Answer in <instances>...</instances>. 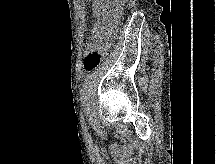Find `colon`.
I'll use <instances>...</instances> for the list:
<instances>
[{"label": "colon", "instance_id": "obj_1", "mask_svg": "<svg viewBox=\"0 0 216 164\" xmlns=\"http://www.w3.org/2000/svg\"><path fill=\"white\" fill-rule=\"evenodd\" d=\"M104 54L105 49L103 47L89 50L84 58V68L89 72L94 71L102 62Z\"/></svg>", "mask_w": 216, "mask_h": 164}]
</instances>
